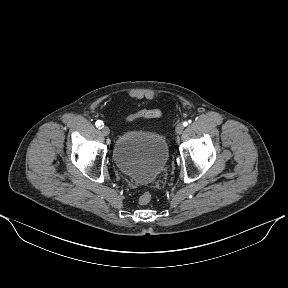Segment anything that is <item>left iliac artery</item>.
<instances>
[{
  "label": "left iliac artery",
  "instance_id": "1",
  "mask_svg": "<svg viewBox=\"0 0 288 288\" xmlns=\"http://www.w3.org/2000/svg\"><path fill=\"white\" fill-rule=\"evenodd\" d=\"M184 127H186L188 125V122L187 121H184L183 124H182Z\"/></svg>",
  "mask_w": 288,
  "mask_h": 288
}]
</instances>
